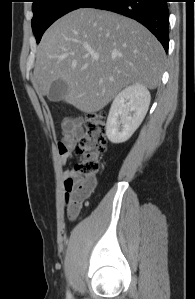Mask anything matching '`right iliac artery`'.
<instances>
[{
	"label": "right iliac artery",
	"instance_id": "1",
	"mask_svg": "<svg viewBox=\"0 0 195 299\" xmlns=\"http://www.w3.org/2000/svg\"><path fill=\"white\" fill-rule=\"evenodd\" d=\"M67 299H71V294H70V292H67Z\"/></svg>",
	"mask_w": 195,
	"mask_h": 299
}]
</instances>
